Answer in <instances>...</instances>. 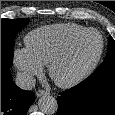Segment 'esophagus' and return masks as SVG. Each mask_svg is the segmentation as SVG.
<instances>
[{"label":"esophagus","instance_id":"esophagus-1","mask_svg":"<svg viewBox=\"0 0 115 115\" xmlns=\"http://www.w3.org/2000/svg\"><path fill=\"white\" fill-rule=\"evenodd\" d=\"M49 93L47 91H44V90H38L36 92V96L37 97H41V96H44V95H48Z\"/></svg>","mask_w":115,"mask_h":115}]
</instances>
